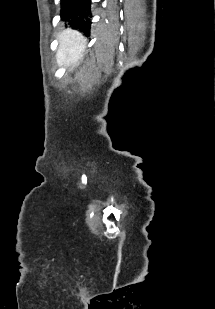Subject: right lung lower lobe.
Here are the masks:
<instances>
[{
  "label": "right lung lower lobe",
  "mask_w": 215,
  "mask_h": 309,
  "mask_svg": "<svg viewBox=\"0 0 215 309\" xmlns=\"http://www.w3.org/2000/svg\"><path fill=\"white\" fill-rule=\"evenodd\" d=\"M61 20L86 36L90 34L91 0H61Z\"/></svg>",
  "instance_id": "98d812e1"
}]
</instances>
